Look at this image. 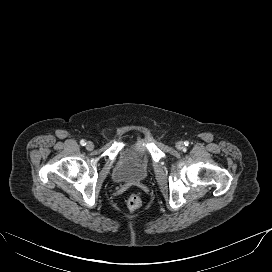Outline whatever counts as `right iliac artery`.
Instances as JSON below:
<instances>
[{
  "label": "right iliac artery",
  "instance_id": "82829eb1",
  "mask_svg": "<svg viewBox=\"0 0 272 272\" xmlns=\"http://www.w3.org/2000/svg\"><path fill=\"white\" fill-rule=\"evenodd\" d=\"M80 144H81L82 146H84V145H86V141H85L84 139H82V140L80 141Z\"/></svg>",
  "mask_w": 272,
  "mask_h": 272
}]
</instances>
